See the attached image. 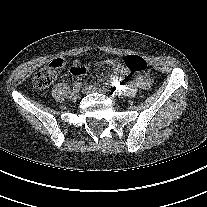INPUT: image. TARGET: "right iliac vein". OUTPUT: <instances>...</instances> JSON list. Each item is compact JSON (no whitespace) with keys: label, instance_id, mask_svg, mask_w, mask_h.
<instances>
[{"label":"right iliac vein","instance_id":"right-iliac-vein-1","mask_svg":"<svg viewBox=\"0 0 207 207\" xmlns=\"http://www.w3.org/2000/svg\"><path fill=\"white\" fill-rule=\"evenodd\" d=\"M79 97V90H73V92L70 95L71 100H76Z\"/></svg>","mask_w":207,"mask_h":207}]
</instances>
